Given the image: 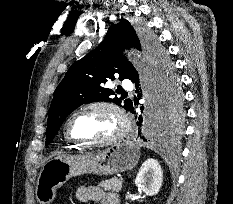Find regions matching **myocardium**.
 Here are the masks:
<instances>
[{
    "label": "myocardium",
    "mask_w": 233,
    "mask_h": 204,
    "mask_svg": "<svg viewBox=\"0 0 233 204\" xmlns=\"http://www.w3.org/2000/svg\"><path fill=\"white\" fill-rule=\"evenodd\" d=\"M97 108L107 109V110L112 111L117 116L120 122L119 130L111 137L104 139V140H99V141L86 140V139H81V138H77L73 136V134L71 133V129H70L73 119L77 115L85 111H88L91 109H97ZM130 128H131L130 118L128 114L126 113V111L119 104L113 101H109V100H99V101L89 102L87 104H84L78 107L76 110H74L66 120L64 131H65L66 137L69 140L75 143H78L80 145L90 146V147H105V146L113 145L117 143L118 141L122 140L124 137H126V135L130 131Z\"/></svg>",
    "instance_id": "1"
}]
</instances>
